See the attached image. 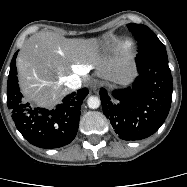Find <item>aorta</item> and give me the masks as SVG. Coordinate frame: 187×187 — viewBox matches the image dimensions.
Returning <instances> with one entry per match:
<instances>
[{
    "instance_id": "762f6f07",
    "label": "aorta",
    "mask_w": 187,
    "mask_h": 187,
    "mask_svg": "<svg viewBox=\"0 0 187 187\" xmlns=\"http://www.w3.org/2000/svg\"><path fill=\"white\" fill-rule=\"evenodd\" d=\"M87 104L89 108L97 109L100 106L101 101L97 96H90L87 100Z\"/></svg>"
}]
</instances>
